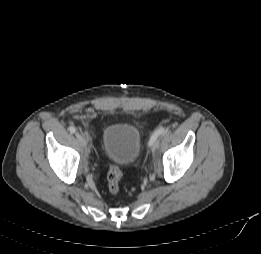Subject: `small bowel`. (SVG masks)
Segmentation results:
<instances>
[{
    "instance_id": "1",
    "label": "small bowel",
    "mask_w": 261,
    "mask_h": 254,
    "mask_svg": "<svg viewBox=\"0 0 261 254\" xmlns=\"http://www.w3.org/2000/svg\"><path fill=\"white\" fill-rule=\"evenodd\" d=\"M94 117H95V114L93 112L87 113L85 116V118L90 119V120L94 119Z\"/></svg>"
}]
</instances>
